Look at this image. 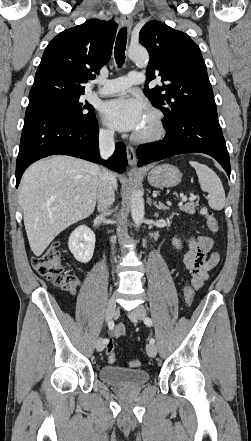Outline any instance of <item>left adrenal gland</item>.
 Returning a JSON list of instances; mask_svg holds the SVG:
<instances>
[{
  "label": "left adrenal gland",
  "instance_id": "left-adrenal-gland-1",
  "mask_svg": "<svg viewBox=\"0 0 251 441\" xmlns=\"http://www.w3.org/2000/svg\"><path fill=\"white\" fill-rule=\"evenodd\" d=\"M153 205H154L157 209H159V210H166V209H168V207L164 206L161 202H159V204H157L156 201H153Z\"/></svg>",
  "mask_w": 251,
  "mask_h": 441
}]
</instances>
